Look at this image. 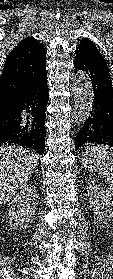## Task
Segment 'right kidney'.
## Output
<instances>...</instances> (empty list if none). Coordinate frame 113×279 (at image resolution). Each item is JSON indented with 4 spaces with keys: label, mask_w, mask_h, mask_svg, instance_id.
Listing matches in <instances>:
<instances>
[{
    "label": "right kidney",
    "mask_w": 113,
    "mask_h": 279,
    "mask_svg": "<svg viewBox=\"0 0 113 279\" xmlns=\"http://www.w3.org/2000/svg\"><path fill=\"white\" fill-rule=\"evenodd\" d=\"M38 193L34 186H26L15 195L10 203L7 219L13 229L27 228L33 220L38 203Z\"/></svg>",
    "instance_id": "obj_1"
}]
</instances>
